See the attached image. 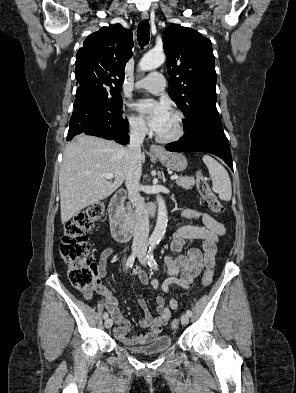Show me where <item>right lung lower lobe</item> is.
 Returning <instances> with one entry per match:
<instances>
[{
	"instance_id": "obj_1",
	"label": "right lung lower lobe",
	"mask_w": 296,
	"mask_h": 393,
	"mask_svg": "<svg viewBox=\"0 0 296 393\" xmlns=\"http://www.w3.org/2000/svg\"><path fill=\"white\" fill-rule=\"evenodd\" d=\"M73 108L67 141L85 133L123 145L129 142L128 121L122 118V114L113 113L86 90L77 89Z\"/></svg>"
}]
</instances>
